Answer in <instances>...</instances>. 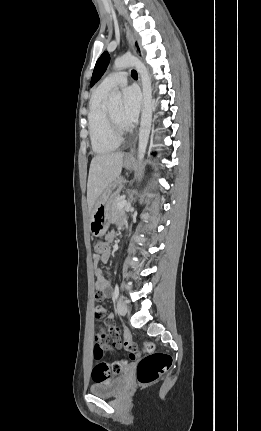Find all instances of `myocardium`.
I'll use <instances>...</instances> for the list:
<instances>
[{"instance_id":"obj_1","label":"myocardium","mask_w":261,"mask_h":431,"mask_svg":"<svg viewBox=\"0 0 261 431\" xmlns=\"http://www.w3.org/2000/svg\"><path fill=\"white\" fill-rule=\"evenodd\" d=\"M106 118L113 136L117 140L121 141L124 138V136L127 134L128 129L118 125V123L112 118L109 111H106Z\"/></svg>"}]
</instances>
